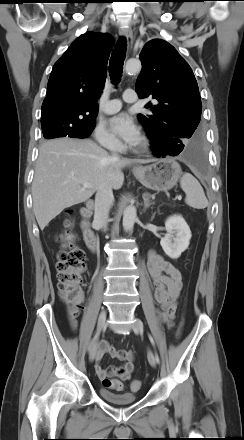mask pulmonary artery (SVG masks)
I'll list each match as a JSON object with an SVG mask.
<instances>
[{"instance_id":"1","label":"pulmonary artery","mask_w":244,"mask_h":440,"mask_svg":"<svg viewBox=\"0 0 244 440\" xmlns=\"http://www.w3.org/2000/svg\"><path fill=\"white\" fill-rule=\"evenodd\" d=\"M123 100L127 103L137 101V94L134 90H126L123 94ZM122 107V102L118 99L110 100L103 106V111L107 114L118 112Z\"/></svg>"}]
</instances>
